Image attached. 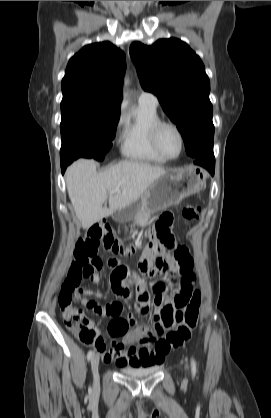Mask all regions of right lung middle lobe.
<instances>
[{"mask_svg": "<svg viewBox=\"0 0 271 418\" xmlns=\"http://www.w3.org/2000/svg\"><path fill=\"white\" fill-rule=\"evenodd\" d=\"M120 108L74 102L61 104L62 159L102 160L112 147Z\"/></svg>", "mask_w": 271, "mask_h": 418, "instance_id": "obj_1", "label": "right lung middle lobe"}]
</instances>
